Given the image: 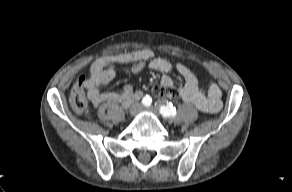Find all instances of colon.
I'll use <instances>...</instances> for the list:
<instances>
[{"instance_id":"colon-1","label":"colon","mask_w":292,"mask_h":192,"mask_svg":"<svg viewBox=\"0 0 292 192\" xmlns=\"http://www.w3.org/2000/svg\"><path fill=\"white\" fill-rule=\"evenodd\" d=\"M85 83L86 78L84 76L80 77L77 83L73 86L69 95L70 105L73 111L77 114L83 113L88 107ZM153 94L159 98L165 99H175L177 97L176 93L172 89L162 85L155 86L153 88Z\"/></svg>"}]
</instances>
